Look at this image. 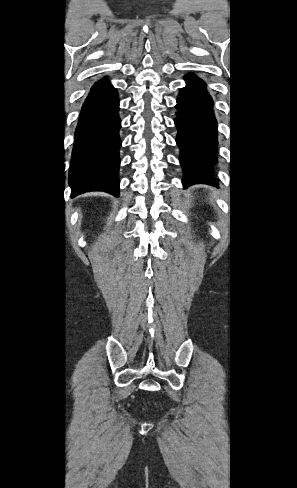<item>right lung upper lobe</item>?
<instances>
[{
	"label": "right lung upper lobe",
	"mask_w": 297,
	"mask_h": 488,
	"mask_svg": "<svg viewBox=\"0 0 297 488\" xmlns=\"http://www.w3.org/2000/svg\"><path fill=\"white\" fill-rule=\"evenodd\" d=\"M101 82H102V80H101V81H99V82H97V83H96V84H95V85L92 87V89H94L95 87H97V86H98V85H99Z\"/></svg>",
	"instance_id": "1"
}]
</instances>
